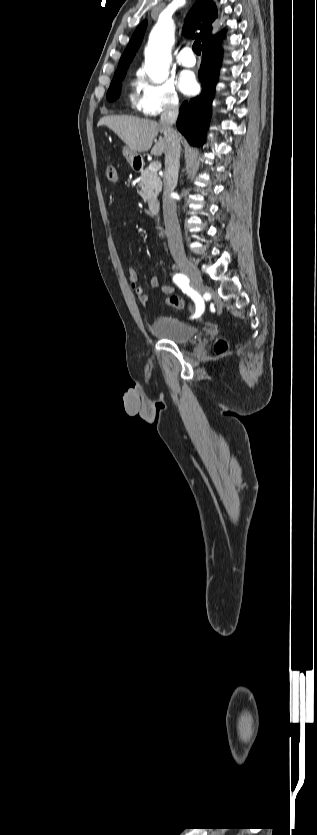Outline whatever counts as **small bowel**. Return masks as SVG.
<instances>
[{"instance_id": "c3829d8e", "label": "small bowel", "mask_w": 317, "mask_h": 835, "mask_svg": "<svg viewBox=\"0 0 317 835\" xmlns=\"http://www.w3.org/2000/svg\"><path fill=\"white\" fill-rule=\"evenodd\" d=\"M128 278H129L131 286H132L135 294L138 296L140 302L143 305H146L148 303V296L145 293L143 287L138 284V273H137V270L134 267H130L128 269ZM150 285L153 289L160 288L161 291L164 294H168V295L174 293V291H175L174 287H172L170 285H167V284H162L161 281L159 280V278L156 275L151 276Z\"/></svg>"}]
</instances>
